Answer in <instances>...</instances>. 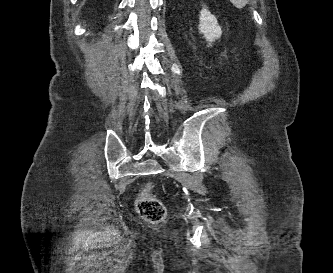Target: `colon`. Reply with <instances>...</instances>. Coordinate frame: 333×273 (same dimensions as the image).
<instances>
[{"mask_svg": "<svg viewBox=\"0 0 333 273\" xmlns=\"http://www.w3.org/2000/svg\"><path fill=\"white\" fill-rule=\"evenodd\" d=\"M136 209L141 217L152 223L161 222L166 216V209L163 203L147 190L138 197Z\"/></svg>", "mask_w": 333, "mask_h": 273, "instance_id": "5ec220e1", "label": "colon"}]
</instances>
